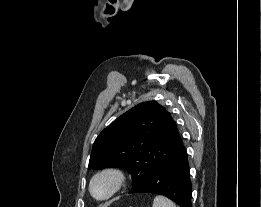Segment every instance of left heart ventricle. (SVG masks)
Here are the masks:
<instances>
[{
    "label": "left heart ventricle",
    "instance_id": "left-heart-ventricle-1",
    "mask_svg": "<svg viewBox=\"0 0 261 207\" xmlns=\"http://www.w3.org/2000/svg\"><path fill=\"white\" fill-rule=\"evenodd\" d=\"M93 190L96 196L103 197L110 190V181L107 179H99L94 183Z\"/></svg>",
    "mask_w": 261,
    "mask_h": 207
}]
</instances>
